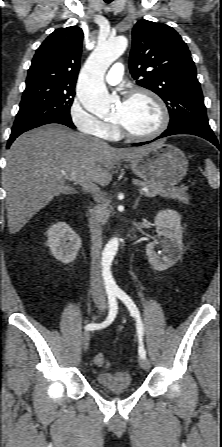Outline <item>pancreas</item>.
Returning <instances> with one entry per match:
<instances>
[{
  "label": "pancreas",
  "mask_w": 222,
  "mask_h": 447,
  "mask_svg": "<svg viewBox=\"0 0 222 447\" xmlns=\"http://www.w3.org/2000/svg\"><path fill=\"white\" fill-rule=\"evenodd\" d=\"M142 185L148 188L147 193H142L146 197H155L160 195L164 198H170L177 200L178 202L188 203L189 195L187 193V187H167L164 188L160 185L142 182ZM96 201L99 203L91 213L100 221L106 222L109 217V211L107 210V202L103 196H97Z\"/></svg>",
  "instance_id": "cf45deb5"
}]
</instances>
